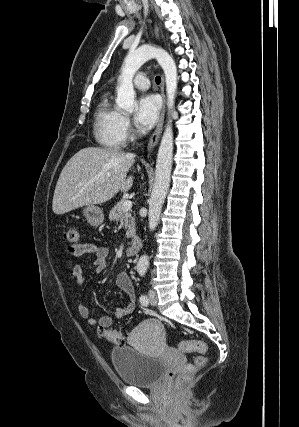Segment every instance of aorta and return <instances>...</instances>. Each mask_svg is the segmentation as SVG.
Listing matches in <instances>:
<instances>
[{"label":"aorta","mask_w":299,"mask_h":427,"mask_svg":"<svg viewBox=\"0 0 299 427\" xmlns=\"http://www.w3.org/2000/svg\"><path fill=\"white\" fill-rule=\"evenodd\" d=\"M155 58L162 67L165 74L167 107L172 110L174 107L175 93L177 90V68L173 58L161 48L150 45H143L134 51H129L121 68L119 85L117 87L116 104L126 112H133L135 102V91L133 87V77L138 69L148 60ZM173 158V131L171 119L165 128L159 146L155 181L151 197L149 199L148 225L153 231L158 225L162 205L166 198L172 168ZM149 261L147 255H142L137 263L139 270H146Z\"/></svg>","instance_id":"obj_1"}]
</instances>
